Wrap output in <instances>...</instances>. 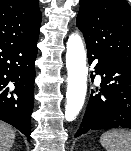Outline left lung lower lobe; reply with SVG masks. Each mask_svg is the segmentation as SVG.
<instances>
[{
    "label": "left lung lower lobe",
    "mask_w": 131,
    "mask_h": 151,
    "mask_svg": "<svg viewBox=\"0 0 131 151\" xmlns=\"http://www.w3.org/2000/svg\"><path fill=\"white\" fill-rule=\"evenodd\" d=\"M88 62L102 78L100 88L91 90L82 122L75 137L92 130L131 129V66L87 47ZM95 75H92V82Z\"/></svg>",
    "instance_id": "0a47b994"
}]
</instances>
